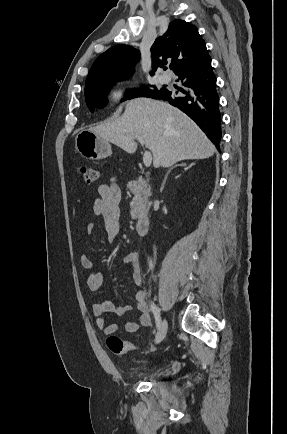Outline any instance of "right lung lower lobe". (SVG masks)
<instances>
[{
    "instance_id": "right-lung-lower-lobe-1",
    "label": "right lung lower lobe",
    "mask_w": 287,
    "mask_h": 434,
    "mask_svg": "<svg viewBox=\"0 0 287 434\" xmlns=\"http://www.w3.org/2000/svg\"><path fill=\"white\" fill-rule=\"evenodd\" d=\"M183 88L169 91L162 88L148 95L154 99L168 101L186 113L206 133L219 149L221 140V114L219 96L216 91V77L212 71L208 52L202 53L195 61L176 73Z\"/></svg>"
}]
</instances>
